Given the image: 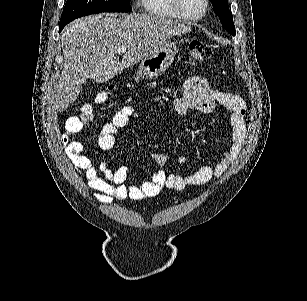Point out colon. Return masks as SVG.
I'll list each match as a JSON object with an SVG mask.
<instances>
[{"mask_svg": "<svg viewBox=\"0 0 307 301\" xmlns=\"http://www.w3.org/2000/svg\"><path fill=\"white\" fill-rule=\"evenodd\" d=\"M188 52L190 58L195 62H204L208 60L212 56V48L209 44L200 41V40H193L188 45ZM107 99L106 93H101L97 96L96 102L103 103ZM94 119V112L91 106H85L83 108L81 114V122L84 125H89L92 123Z\"/></svg>", "mask_w": 307, "mask_h": 301, "instance_id": "colon-1", "label": "colon"}]
</instances>
